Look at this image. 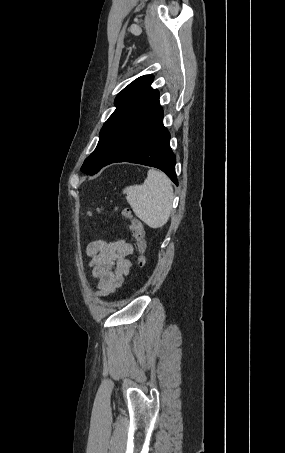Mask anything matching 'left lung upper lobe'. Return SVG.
<instances>
[{"instance_id": "1", "label": "left lung upper lobe", "mask_w": 285, "mask_h": 453, "mask_svg": "<svg viewBox=\"0 0 285 453\" xmlns=\"http://www.w3.org/2000/svg\"><path fill=\"white\" fill-rule=\"evenodd\" d=\"M152 81V75L141 76L117 95L116 110L103 125L98 145L85 159L82 172L97 173L124 131L159 96V92L151 87Z\"/></svg>"}]
</instances>
